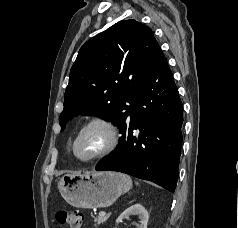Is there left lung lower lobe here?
Masks as SVG:
<instances>
[{
  "instance_id": "0a47b994",
  "label": "left lung lower lobe",
  "mask_w": 238,
  "mask_h": 228,
  "mask_svg": "<svg viewBox=\"0 0 238 228\" xmlns=\"http://www.w3.org/2000/svg\"><path fill=\"white\" fill-rule=\"evenodd\" d=\"M182 123L183 106L178 89L159 50L120 127L122 136L117 149L105 156L95 170L123 172L174 192Z\"/></svg>"
}]
</instances>
